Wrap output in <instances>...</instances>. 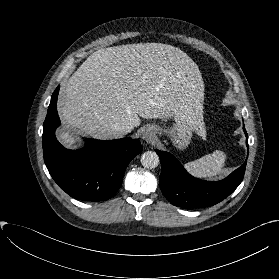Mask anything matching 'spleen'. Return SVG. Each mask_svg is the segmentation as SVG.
<instances>
[{"label":"spleen","instance_id":"spleen-1","mask_svg":"<svg viewBox=\"0 0 279 279\" xmlns=\"http://www.w3.org/2000/svg\"><path fill=\"white\" fill-rule=\"evenodd\" d=\"M226 161V154L216 150L200 159L184 164L185 169L197 178H213L219 175Z\"/></svg>","mask_w":279,"mask_h":279}]
</instances>
